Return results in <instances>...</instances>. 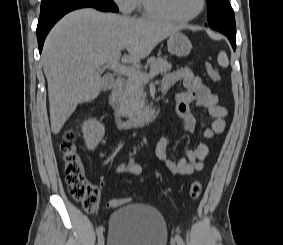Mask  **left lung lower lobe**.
Masks as SVG:
<instances>
[{
  "mask_svg": "<svg viewBox=\"0 0 283 245\" xmlns=\"http://www.w3.org/2000/svg\"><path fill=\"white\" fill-rule=\"evenodd\" d=\"M223 34L227 36V38L229 39L233 49L235 50L236 49V35L235 34H229V33H223Z\"/></svg>",
  "mask_w": 283,
  "mask_h": 245,
  "instance_id": "obj_1",
  "label": "left lung lower lobe"
}]
</instances>
